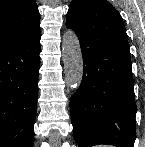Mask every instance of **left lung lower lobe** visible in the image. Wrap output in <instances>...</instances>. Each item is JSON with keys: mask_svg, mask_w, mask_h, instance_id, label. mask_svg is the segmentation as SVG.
Masks as SVG:
<instances>
[{"mask_svg": "<svg viewBox=\"0 0 145 147\" xmlns=\"http://www.w3.org/2000/svg\"><path fill=\"white\" fill-rule=\"evenodd\" d=\"M66 26L83 53L81 85L71 97L79 147H133L137 112L127 34L119 12L106 0H73Z\"/></svg>", "mask_w": 145, "mask_h": 147, "instance_id": "1", "label": "left lung lower lobe"}]
</instances>
